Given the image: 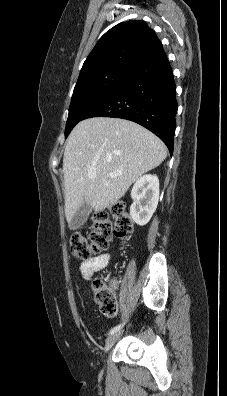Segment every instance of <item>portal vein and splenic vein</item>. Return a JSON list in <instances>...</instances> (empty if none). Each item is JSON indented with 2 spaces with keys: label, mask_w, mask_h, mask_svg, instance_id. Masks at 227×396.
Instances as JSON below:
<instances>
[{
  "label": "portal vein and splenic vein",
  "mask_w": 227,
  "mask_h": 396,
  "mask_svg": "<svg viewBox=\"0 0 227 396\" xmlns=\"http://www.w3.org/2000/svg\"><path fill=\"white\" fill-rule=\"evenodd\" d=\"M88 177L89 178H95L96 177V173L93 171L88 172ZM110 177H114L113 174H110Z\"/></svg>",
  "instance_id": "1"
}]
</instances>
